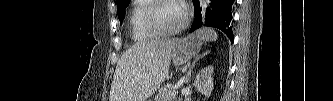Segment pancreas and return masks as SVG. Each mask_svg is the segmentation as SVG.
I'll return each instance as SVG.
<instances>
[{"label":"pancreas","instance_id":"cf45deb5","mask_svg":"<svg viewBox=\"0 0 333 101\" xmlns=\"http://www.w3.org/2000/svg\"><path fill=\"white\" fill-rule=\"evenodd\" d=\"M178 91L171 88V86L163 87L155 97V101H174Z\"/></svg>","mask_w":333,"mask_h":101}]
</instances>
